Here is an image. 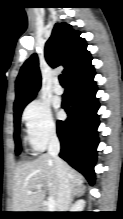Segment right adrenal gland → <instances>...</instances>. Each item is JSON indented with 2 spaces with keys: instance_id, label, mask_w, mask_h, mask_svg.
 I'll return each mask as SVG.
<instances>
[{
  "instance_id": "1",
  "label": "right adrenal gland",
  "mask_w": 123,
  "mask_h": 219,
  "mask_svg": "<svg viewBox=\"0 0 123 219\" xmlns=\"http://www.w3.org/2000/svg\"><path fill=\"white\" fill-rule=\"evenodd\" d=\"M85 190H86V187L83 186V185H78V186H75L72 190V196H71V202H70V205L72 204L73 200L75 197H80L82 195L85 194Z\"/></svg>"
}]
</instances>
